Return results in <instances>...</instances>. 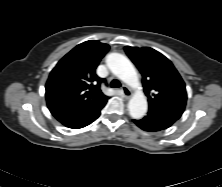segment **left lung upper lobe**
Segmentation results:
<instances>
[{"label": "left lung upper lobe", "instance_id": "left-lung-upper-lobe-1", "mask_svg": "<svg viewBox=\"0 0 222 187\" xmlns=\"http://www.w3.org/2000/svg\"><path fill=\"white\" fill-rule=\"evenodd\" d=\"M125 52L142 74L149 107L177 106L185 108V83L171 61L149 48L125 47Z\"/></svg>", "mask_w": 222, "mask_h": 187}]
</instances>
